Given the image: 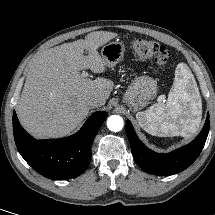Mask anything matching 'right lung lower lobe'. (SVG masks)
Instances as JSON below:
<instances>
[{
    "label": "right lung lower lobe",
    "mask_w": 215,
    "mask_h": 215,
    "mask_svg": "<svg viewBox=\"0 0 215 215\" xmlns=\"http://www.w3.org/2000/svg\"><path fill=\"white\" fill-rule=\"evenodd\" d=\"M107 117L98 111L90 116L74 135L51 140H37L20 125L13 112V132L21 156L39 174L50 179H67L83 173L91 159L95 135Z\"/></svg>",
    "instance_id": "right-lung-lower-lobe-1"
}]
</instances>
